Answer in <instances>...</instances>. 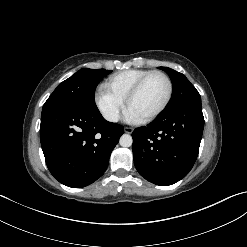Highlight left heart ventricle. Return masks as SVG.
Instances as JSON below:
<instances>
[{
    "instance_id": "1",
    "label": "left heart ventricle",
    "mask_w": 247,
    "mask_h": 247,
    "mask_svg": "<svg viewBox=\"0 0 247 247\" xmlns=\"http://www.w3.org/2000/svg\"><path fill=\"white\" fill-rule=\"evenodd\" d=\"M168 85L161 75L151 76L137 96L131 101L129 110L139 118H144L157 110L164 102Z\"/></svg>"
}]
</instances>
